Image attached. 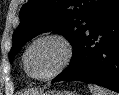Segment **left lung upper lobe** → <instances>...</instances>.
<instances>
[{
	"mask_svg": "<svg viewBox=\"0 0 119 95\" xmlns=\"http://www.w3.org/2000/svg\"><path fill=\"white\" fill-rule=\"evenodd\" d=\"M110 1L28 0L20 10V24L13 34L10 63L28 40L48 31L68 39L74 56L95 17Z\"/></svg>",
	"mask_w": 119,
	"mask_h": 95,
	"instance_id": "left-lung-upper-lobe-1",
	"label": "left lung upper lobe"
}]
</instances>
